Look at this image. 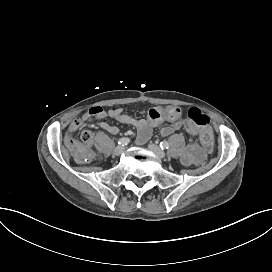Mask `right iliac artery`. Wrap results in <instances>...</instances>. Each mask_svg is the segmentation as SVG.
Here are the masks:
<instances>
[{"label":"right iliac artery","instance_id":"obj_1","mask_svg":"<svg viewBox=\"0 0 272 272\" xmlns=\"http://www.w3.org/2000/svg\"><path fill=\"white\" fill-rule=\"evenodd\" d=\"M129 142H130V139L124 137V138L119 139L118 144H119V145H122V146H125V145H127Z\"/></svg>","mask_w":272,"mask_h":272}]
</instances>
